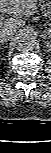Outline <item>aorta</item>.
Here are the masks:
<instances>
[{"label": "aorta", "mask_w": 51, "mask_h": 153, "mask_svg": "<svg viewBox=\"0 0 51 153\" xmlns=\"http://www.w3.org/2000/svg\"><path fill=\"white\" fill-rule=\"evenodd\" d=\"M16 48L19 51H30L36 45L35 37L30 33H24L17 37Z\"/></svg>", "instance_id": "obj_1"}]
</instances>
